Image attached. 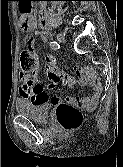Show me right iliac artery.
Returning <instances> with one entry per match:
<instances>
[{"label": "right iliac artery", "instance_id": "1", "mask_svg": "<svg viewBox=\"0 0 123 167\" xmlns=\"http://www.w3.org/2000/svg\"><path fill=\"white\" fill-rule=\"evenodd\" d=\"M50 47L53 50H57V49H59V44L56 41H51L50 42Z\"/></svg>", "mask_w": 123, "mask_h": 167}]
</instances>
